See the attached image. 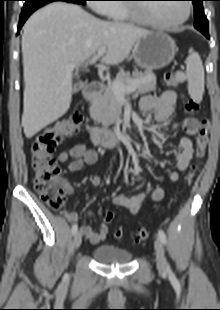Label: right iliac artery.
Wrapping results in <instances>:
<instances>
[{"instance_id": "82829eb1", "label": "right iliac artery", "mask_w": 220, "mask_h": 310, "mask_svg": "<svg viewBox=\"0 0 220 310\" xmlns=\"http://www.w3.org/2000/svg\"><path fill=\"white\" fill-rule=\"evenodd\" d=\"M77 230H78V226H77V224H74V225L72 226V228H71V233H72V234H75V233L77 232Z\"/></svg>"}]
</instances>
